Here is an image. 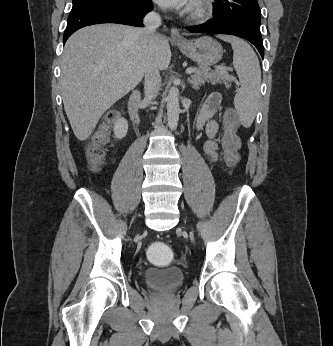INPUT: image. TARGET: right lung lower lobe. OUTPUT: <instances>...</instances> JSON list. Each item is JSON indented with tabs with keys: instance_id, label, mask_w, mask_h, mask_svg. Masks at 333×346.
<instances>
[{
	"instance_id": "right-lung-lower-lobe-1",
	"label": "right lung lower lobe",
	"mask_w": 333,
	"mask_h": 346,
	"mask_svg": "<svg viewBox=\"0 0 333 346\" xmlns=\"http://www.w3.org/2000/svg\"><path fill=\"white\" fill-rule=\"evenodd\" d=\"M153 9L151 0H133L127 6L95 3L71 10L63 35V44L78 29L94 24L118 23L142 26V18Z\"/></svg>"
}]
</instances>
